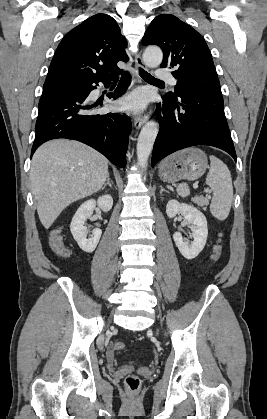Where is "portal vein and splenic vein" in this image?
<instances>
[{"mask_svg":"<svg viewBox=\"0 0 267 419\" xmlns=\"http://www.w3.org/2000/svg\"><path fill=\"white\" fill-rule=\"evenodd\" d=\"M198 187V184L197 183H195L194 184V188H197ZM209 193H210V191H208Z\"/></svg>","mask_w":267,"mask_h":419,"instance_id":"portal-vein-and-splenic-vein-1","label":"portal vein and splenic vein"}]
</instances>
